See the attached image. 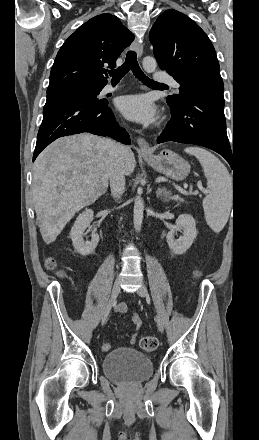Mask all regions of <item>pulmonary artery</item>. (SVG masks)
Wrapping results in <instances>:
<instances>
[{"label":"pulmonary artery","mask_w":259,"mask_h":440,"mask_svg":"<svg viewBox=\"0 0 259 440\" xmlns=\"http://www.w3.org/2000/svg\"><path fill=\"white\" fill-rule=\"evenodd\" d=\"M154 79L157 82L167 83V84H170L174 88H179L178 82L169 75L155 74ZM117 89H119V86L107 85L103 91H104V93H109V92L116 91Z\"/></svg>","instance_id":"obj_1"}]
</instances>
